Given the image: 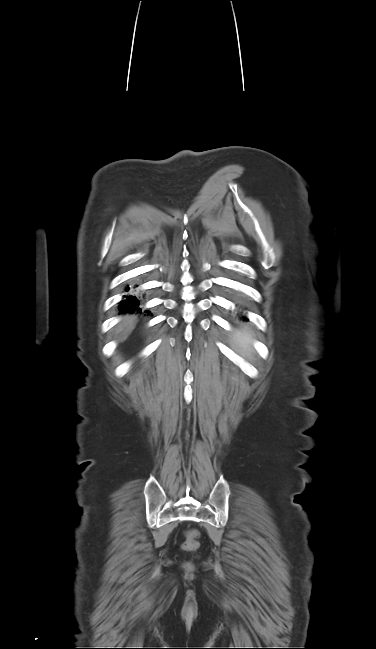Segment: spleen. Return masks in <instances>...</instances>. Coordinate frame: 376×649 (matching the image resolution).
Listing matches in <instances>:
<instances>
[{"label": "spleen", "instance_id": "obj_1", "mask_svg": "<svg viewBox=\"0 0 376 649\" xmlns=\"http://www.w3.org/2000/svg\"><path fill=\"white\" fill-rule=\"evenodd\" d=\"M250 337V333L248 330H241L236 336H235V342L236 344L244 351L249 350L250 345L248 338Z\"/></svg>", "mask_w": 376, "mask_h": 649}]
</instances>
